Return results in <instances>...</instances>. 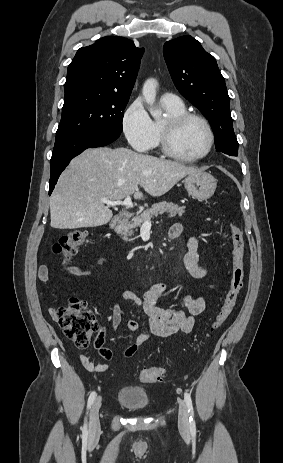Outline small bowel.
Returning <instances> with one entry per match:
<instances>
[{
    "label": "small bowel",
    "instance_id": "1",
    "mask_svg": "<svg viewBox=\"0 0 283 463\" xmlns=\"http://www.w3.org/2000/svg\"><path fill=\"white\" fill-rule=\"evenodd\" d=\"M182 232L183 226L180 223H175L170 227L169 237L171 239H176ZM198 246V238L196 236L189 237L187 241V252L184 255L183 263L185 269L192 278L203 279L207 276L208 270L206 267L199 264ZM104 261L105 259L102 258L98 263L101 264ZM61 269L76 275H87L92 271L91 266L80 268L72 265ZM52 270V265L41 266L38 270V279L42 282L47 281ZM168 294V286L161 282L153 284L143 296H139L130 290H125L120 294L122 300L134 303L140 309L142 316L146 319L143 325L144 331L137 337H134V333L140 329V324L135 320L128 321L127 328L130 341L128 348L123 353V358L132 356L136 350L152 336L168 337L177 332L190 333L193 330L195 318L205 310V298L202 296L193 297L191 295H182L177 297V300L182 306L181 308L158 306V300ZM50 313L55 317L54 309L51 308ZM120 323V307L118 304H115L113 305L111 314L112 328L117 330ZM131 349H134V352H129ZM79 360L83 367L89 372L100 373L107 369L106 364H94L84 354L79 355Z\"/></svg>",
    "mask_w": 283,
    "mask_h": 463
}]
</instances>
